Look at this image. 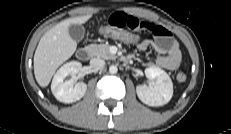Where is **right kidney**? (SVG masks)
Here are the masks:
<instances>
[{
    "label": "right kidney",
    "instance_id": "right-kidney-1",
    "mask_svg": "<svg viewBox=\"0 0 231 134\" xmlns=\"http://www.w3.org/2000/svg\"><path fill=\"white\" fill-rule=\"evenodd\" d=\"M81 63L71 61L64 64L54 75L51 91L55 98L63 103H73L80 100L86 93L87 85L83 82L75 83L73 79L64 81L71 75L75 77L81 70Z\"/></svg>",
    "mask_w": 231,
    "mask_h": 134
}]
</instances>
